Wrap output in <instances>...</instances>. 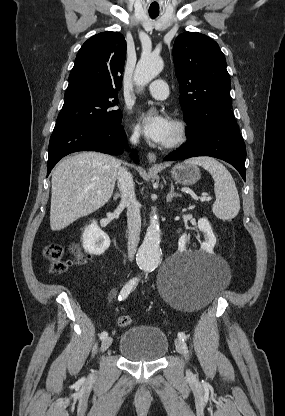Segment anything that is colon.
Here are the masks:
<instances>
[{
  "label": "colon",
  "mask_w": 285,
  "mask_h": 416,
  "mask_svg": "<svg viewBox=\"0 0 285 416\" xmlns=\"http://www.w3.org/2000/svg\"><path fill=\"white\" fill-rule=\"evenodd\" d=\"M73 251L76 255L77 262L81 263L85 261V257L78 251L76 247H73ZM64 249L61 245L51 244L46 247L45 255L51 261V269L55 274L63 273L67 268V262L63 260ZM131 323V318L127 315L118 316V324L122 327L128 326Z\"/></svg>",
  "instance_id": "obj_1"
}]
</instances>
